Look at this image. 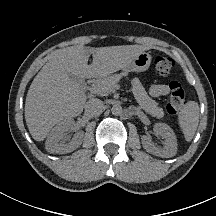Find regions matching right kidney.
<instances>
[{"mask_svg": "<svg viewBox=\"0 0 216 216\" xmlns=\"http://www.w3.org/2000/svg\"><path fill=\"white\" fill-rule=\"evenodd\" d=\"M74 129V120L71 118L59 122L49 133L45 146L50 153L66 154L76 150L82 144L84 133L77 132L69 143H63L61 140L65 132Z\"/></svg>", "mask_w": 216, "mask_h": 216, "instance_id": "1", "label": "right kidney"}]
</instances>
